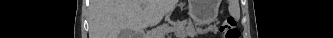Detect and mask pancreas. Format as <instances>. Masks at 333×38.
Wrapping results in <instances>:
<instances>
[{
  "mask_svg": "<svg viewBox=\"0 0 333 38\" xmlns=\"http://www.w3.org/2000/svg\"><path fill=\"white\" fill-rule=\"evenodd\" d=\"M161 31H162V28H158L157 30L152 31L150 33V36L151 37L159 36L161 34ZM174 31L177 34H185V33L188 34L193 31V26L192 25L187 26L186 23H182L178 26H174Z\"/></svg>",
  "mask_w": 333,
  "mask_h": 38,
  "instance_id": "pancreas-1",
  "label": "pancreas"
}]
</instances>
